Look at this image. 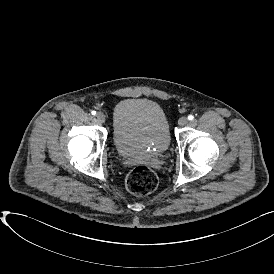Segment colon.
Segmentation results:
<instances>
[{"label": "colon", "instance_id": "5ec220e1", "mask_svg": "<svg viewBox=\"0 0 274 274\" xmlns=\"http://www.w3.org/2000/svg\"><path fill=\"white\" fill-rule=\"evenodd\" d=\"M156 174L149 168L139 167L132 170L126 179L128 191L136 196H146L157 188Z\"/></svg>", "mask_w": 274, "mask_h": 274}]
</instances>
